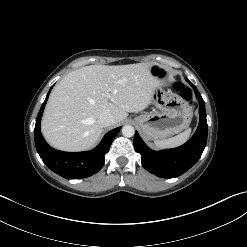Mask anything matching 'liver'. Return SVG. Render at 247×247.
<instances>
[{
  "instance_id": "liver-1",
  "label": "liver",
  "mask_w": 247,
  "mask_h": 247,
  "mask_svg": "<svg viewBox=\"0 0 247 247\" xmlns=\"http://www.w3.org/2000/svg\"><path fill=\"white\" fill-rule=\"evenodd\" d=\"M152 66L90 65L68 73L51 92L44 111L41 130L47 142L60 150H87L103 132L101 113L112 114L117 124L129 112L147 108L154 89L162 85Z\"/></svg>"
}]
</instances>
